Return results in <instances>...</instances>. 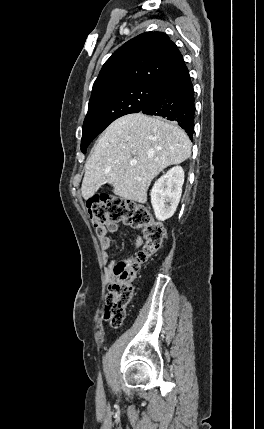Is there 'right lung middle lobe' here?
Returning a JSON list of instances; mask_svg holds the SVG:
<instances>
[{
	"mask_svg": "<svg viewBox=\"0 0 264 429\" xmlns=\"http://www.w3.org/2000/svg\"><path fill=\"white\" fill-rule=\"evenodd\" d=\"M156 88L157 85L137 84L90 100L83 124L81 151L85 153L91 141L115 119L140 112Z\"/></svg>",
	"mask_w": 264,
	"mask_h": 429,
	"instance_id": "1",
	"label": "right lung middle lobe"
}]
</instances>
